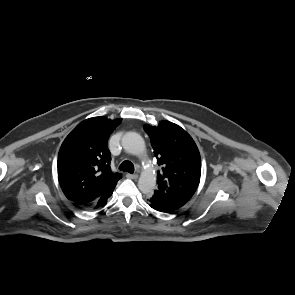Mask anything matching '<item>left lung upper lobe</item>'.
Returning a JSON list of instances; mask_svg holds the SVG:
<instances>
[{
    "mask_svg": "<svg viewBox=\"0 0 295 295\" xmlns=\"http://www.w3.org/2000/svg\"><path fill=\"white\" fill-rule=\"evenodd\" d=\"M158 165V191L189 201L200 182L201 158L191 136L180 126L161 121L145 125Z\"/></svg>",
    "mask_w": 295,
    "mask_h": 295,
    "instance_id": "left-lung-upper-lobe-1",
    "label": "left lung upper lobe"
}]
</instances>
